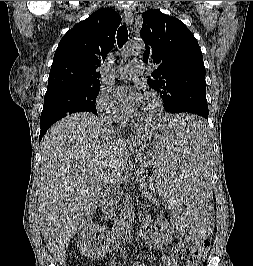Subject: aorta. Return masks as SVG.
Segmentation results:
<instances>
[{"label": "aorta", "instance_id": "obj_1", "mask_svg": "<svg viewBox=\"0 0 253 266\" xmlns=\"http://www.w3.org/2000/svg\"><path fill=\"white\" fill-rule=\"evenodd\" d=\"M145 50V45L142 41H131L121 51L122 58H128L130 56L141 55ZM120 224L123 229V235L128 238L130 235V221L125 213L120 215Z\"/></svg>", "mask_w": 253, "mask_h": 266}]
</instances>
